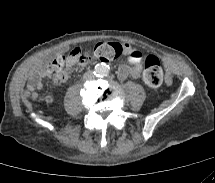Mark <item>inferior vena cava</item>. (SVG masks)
I'll return each instance as SVG.
<instances>
[{"label": "inferior vena cava", "mask_w": 215, "mask_h": 183, "mask_svg": "<svg viewBox=\"0 0 215 183\" xmlns=\"http://www.w3.org/2000/svg\"><path fill=\"white\" fill-rule=\"evenodd\" d=\"M85 79H92L94 77V73L92 71H88L83 76Z\"/></svg>", "instance_id": "1"}]
</instances>
